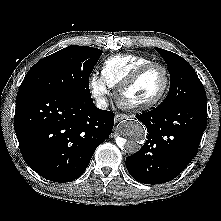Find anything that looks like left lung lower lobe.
Masks as SVG:
<instances>
[{
  "label": "left lung lower lobe",
  "mask_w": 221,
  "mask_h": 221,
  "mask_svg": "<svg viewBox=\"0 0 221 221\" xmlns=\"http://www.w3.org/2000/svg\"><path fill=\"white\" fill-rule=\"evenodd\" d=\"M136 118L146 125L148 137L137 153L126 158V167L138 182L165 183L178 176L197 154L207 125L206 100L159 105Z\"/></svg>",
  "instance_id": "left-lung-lower-lobe-1"
}]
</instances>
